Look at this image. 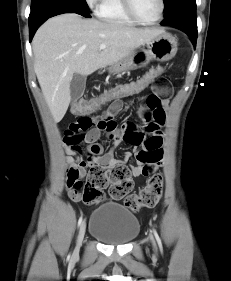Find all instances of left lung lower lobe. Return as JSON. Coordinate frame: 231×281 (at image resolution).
I'll list each match as a JSON object with an SVG mask.
<instances>
[{
  "label": "left lung lower lobe",
  "mask_w": 231,
  "mask_h": 281,
  "mask_svg": "<svg viewBox=\"0 0 231 281\" xmlns=\"http://www.w3.org/2000/svg\"><path fill=\"white\" fill-rule=\"evenodd\" d=\"M162 25H172L179 27L182 31L189 35L194 47L197 41V20L196 6H189L176 10L167 16Z\"/></svg>",
  "instance_id": "obj_1"
}]
</instances>
